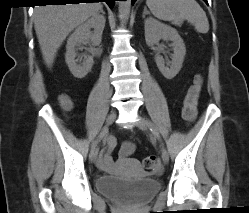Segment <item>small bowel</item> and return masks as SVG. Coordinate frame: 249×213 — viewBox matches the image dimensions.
<instances>
[{"label": "small bowel", "mask_w": 249, "mask_h": 213, "mask_svg": "<svg viewBox=\"0 0 249 213\" xmlns=\"http://www.w3.org/2000/svg\"><path fill=\"white\" fill-rule=\"evenodd\" d=\"M108 147L102 150L97 159V167L106 172H113L116 168V163L112 158V151L116 146V140L113 137L107 139ZM134 144L130 141L123 142L120 149V159L128 158L134 151Z\"/></svg>", "instance_id": "1"}]
</instances>
